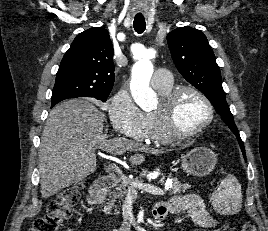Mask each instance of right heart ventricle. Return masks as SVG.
I'll list each match as a JSON object with an SVG mask.
<instances>
[{
    "label": "right heart ventricle",
    "mask_w": 268,
    "mask_h": 231,
    "mask_svg": "<svg viewBox=\"0 0 268 231\" xmlns=\"http://www.w3.org/2000/svg\"><path fill=\"white\" fill-rule=\"evenodd\" d=\"M161 98L165 97L173 88V81L169 84L156 86ZM144 118L147 128V141L154 144H169L172 139L169 138L163 131L161 121L155 111L144 113Z\"/></svg>",
    "instance_id": "right-heart-ventricle-1"
}]
</instances>
